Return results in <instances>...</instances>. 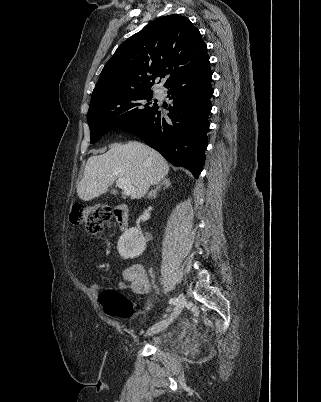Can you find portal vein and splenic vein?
I'll return each mask as SVG.
<instances>
[{"instance_id":"18ae733b","label":"portal vein and splenic vein","mask_w":321,"mask_h":402,"mask_svg":"<svg viewBox=\"0 0 321 402\" xmlns=\"http://www.w3.org/2000/svg\"><path fill=\"white\" fill-rule=\"evenodd\" d=\"M117 186L121 188L126 196L131 195L134 192V186L131 182L125 178H120L116 181Z\"/></svg>"}]
</instances>
